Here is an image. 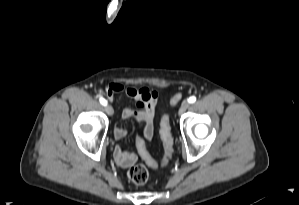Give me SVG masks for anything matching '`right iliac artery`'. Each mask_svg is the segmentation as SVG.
Returning <instances> with one entry per match:
<instances>
[{
	"label": "right iliac artery",
	"instance_id": "obj_1",
	"mask_svg": "<svg viewBox=\"0 0 299 205\" xmlns=\"http://www.w3.org/2000/svg\"><path fill=\"white\" fill-rule=\"evenodd\" d=\"M99 101L102 105H104V106L107 105V101L104 98L100 97Z\"/></svg>",
	"mask_w": 299,
	"mask_h": 205
}]
</instances>
